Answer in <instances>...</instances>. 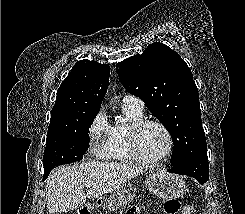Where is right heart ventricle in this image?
<instances>
[{
	"label": "right heart ventricle",
	"mask_w": 245,
	"mask_h": 214,
	"mask_svg": "<svg viewBox=\"0 0 245 214\" xmlns=\"http://www.w3.org/2000/svg\"><path fill=\"white\" fill-rule=\"evenodd\" d=\"M122 110L128 123L126 125L112 126V137L108 158L121 162H133L135 159L132 157L127 144V129L130 124L143 119V110H139L135 106L127 103H122Z\"/></svg>",
	"instance_id": "obj_1"
}]
</instances>
